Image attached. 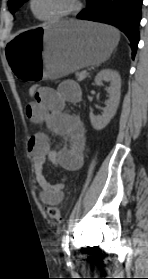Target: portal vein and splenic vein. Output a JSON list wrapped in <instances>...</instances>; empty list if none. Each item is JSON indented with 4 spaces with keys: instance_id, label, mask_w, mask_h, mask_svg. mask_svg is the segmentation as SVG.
I'll return each mask as SVG.
<instances>
[{
    "instance_id": "1",
    "label": "portal vein and splenic vein",
    "mask_w": 148,
    "mask_h": 279,
    "mask_svg": "<svg viewBox=\"0 0 148 279\" xmlns=\"http://www.w3.org/2000/svg\"><path fill=\"white\" fill-rule=\"evenodd\" d=\"M87 76V72L86 71H83L82 73H81V77L83 78V77H86Z\"/></svg>"
}]
</instances>
